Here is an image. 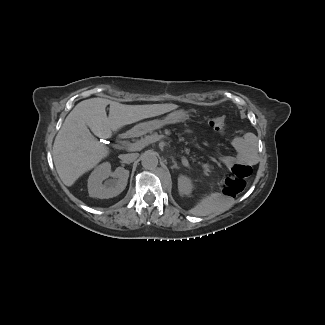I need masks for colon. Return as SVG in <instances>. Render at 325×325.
Wrapping results in <instances>:
<instances>
[{"instance_id":"colon-1","label":"colon","mask_w":325,"mask_h":325,"mask_svg":"<svg viewBox=\"0 0 325 325\" xmlns=\"http://www.w3.org/2000/svg\"><path fill=\"white\" fill-rule=\"evenodd\" d=\"M210 126L219 134L225 133V121L221 117L210 121ZM251 175V168L247 165L236 164L231 174L224 180L222 189L224 194L235 197L240 194L246 186V179Z\"/></svg>"}]
</instances>
